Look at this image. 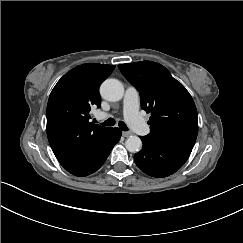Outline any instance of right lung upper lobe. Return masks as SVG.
<instances>
[{"instance_id":"right-lung-upper-lobe-1","label":"right lung upper lobe","mask_w":243,"mask_h":243,"mask_svg":"<svg viewBox=\"0 0 243 243\" xmlns=\"http://www.w3.org/2000/svg\"><path fill=\"white\" fill-rule=\"evenodd\" d=\"M115 66L88 63L66 73L53 88L47 105V136L63 167L85 156L111 129L89 122L100 108V84Z\"/></svg>"}]
</instances>
